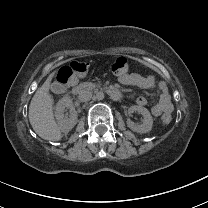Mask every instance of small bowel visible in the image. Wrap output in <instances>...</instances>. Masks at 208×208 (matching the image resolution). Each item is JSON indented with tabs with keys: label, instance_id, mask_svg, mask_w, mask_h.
I'll return each mask as SVG.
<instances>
[{
	"label": "small bowel",
	"instance_id": "1",
	"mask_svg": "<svg viewBox=\"0 0 208 208\" xmlns=\"http://www.w3.org/2000/svg\"><path fill=\"white\" fill-rule=\"evenodd\" d=\"M119 82L123 85L135 86L145 90H152L156 87V78L153 75L143 76L138 73H126L119 76ZM158 87L160 90V98L159 101L152 106V113L155 116L169 113L173 109L171 96L166 83L159 82ZM137 102L140 105H146L148 101L145 97H139Z\"/></svg>",
	"mask_w": 208,
	"mask_h": 208
}]
</instances>
